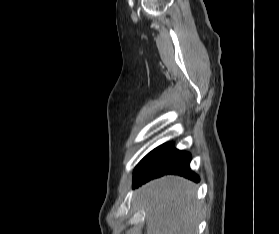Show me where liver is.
<instances>
[{
    "label": "liver",
    "instance_id": "6515ba94",
    "mask_svg": "<svg viewBox=\"0 0 279 234\" xmlns=\"http://www.w3.org/2000/svg\"><path fill=\"white\" fill-rule=\"evenodd\" d=\"M146 212L145 234H196L200 212L193 184L181 177L153 180L135 192Z\"/></svg>",
    "mask_w": 279,
    "mask_h": 234
}]
</instances>
